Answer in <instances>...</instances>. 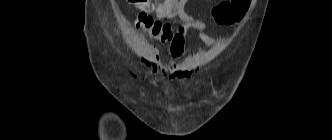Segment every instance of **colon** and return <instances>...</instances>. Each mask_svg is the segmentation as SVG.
Wrapping results in <instances>:
<instances>
[{"instance_id": "colon-1", "label": "colon", "mask_w": 332, "mask_h": 140, "mask_svg": "<svg viewBox=\"0 0 332 140\" xmlns=\"http://www.w3.org/2000/svg\"><path fill=\"white\" fill-rule=\"evenodd\" d=\"M144 12L134 19V25L146 31L152 37L169 36L173 29L170 23L155 19L148 12L168 10L175 0H128ZM250 0H227L213 8L215 21L221 25H230L240 21L247 12Z\"/></svg>"}]
</instances>
